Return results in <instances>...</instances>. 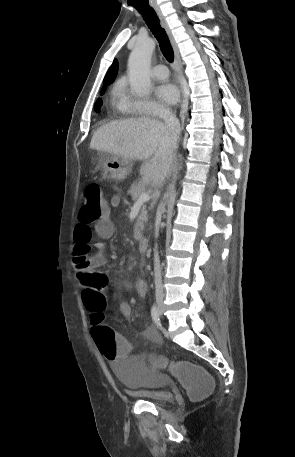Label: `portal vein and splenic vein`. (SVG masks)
Wrapping results in <instances>:
<instances>
[{
    "instance_id": "obj_1",
    "label": "portal vein and splenic vein",
    "mask_w": 295,
    "mask_h": 457,
    "mask_svg": "<svg viewBox=\"0 0 295 457\" xmlns=\"http://www.w3.org/2000/svg\"><path fill=\"white\" fill-rule=\"evenodd\" d=\"M148 200H150V195L148 193L144 192V193H142L140 195V197L138 198L137 202H141L142 203V202H146Z\"/></svg>"
}]
</instances>
